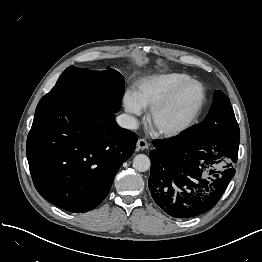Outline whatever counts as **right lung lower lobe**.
<instances>
[{"instance_id": "98d812e1", "label": "right lung lower lobe", "mask_w": 262, "mask_h": 262, "mask_svg": "<svg viewBox=\"0 0 262 262\" xmlns=\"http://www.w3.org/2000/svg\"><path fill=\"white\" fill-rule=\"evenodd\" d=\"M137 138L120 128L114 113L96 100L44 96L26 144L34 185L42 197L64 210L90 211L109 193Z\"/></svg>"}]
</instances>
